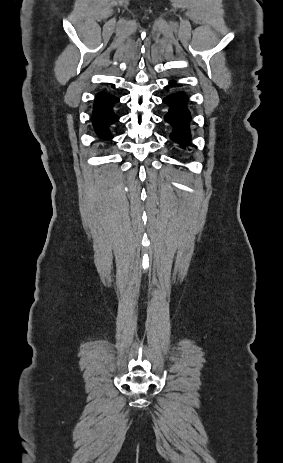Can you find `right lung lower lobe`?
<instances>
[{
  "label": "right lung lower lobe",
  "instance_id": "98d812e1",
  "mask_svg": "<svg viewBox=\"0 0 283 463\" xmlns=\"http://www.w3.org/2000/svg\"><path fill=\"white\" fill-rule=\"evenodd\" d=\"M118 101L119 98L104 92H99L95 98L92 120L97 134L103 139L112 138L107 128L118 120V116L112 111L113 104Z\"/></svg>",
  "mask_w": 283,
  "mask_h": 463
}]
</instances>
